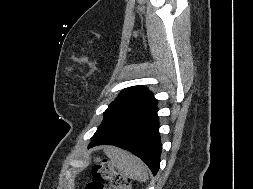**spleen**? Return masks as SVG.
<instances>
[{"label": "spleen", "instance_id": "3e777b00", "mask_svg": "<svg viewBox=\"0 0 253 189\" xmlns=\"http://www.w3.org/2000/svg\"><path fill=\"white\" fill-rule=\"evenodd\" d=\"M105 154L117 170L133 180L145 182L148 179V168L136 156L117 147H106Z\"/></svg>", "mask_w": 253, "mask_h": 189}]
</instances>
